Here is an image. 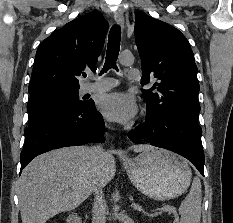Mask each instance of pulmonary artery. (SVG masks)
I'll return each mask as SVG.
<instances>
[{
    "label": "pulmonary artery",
    "instance_id": "1",
    "mask_svg": "<svg viewBox=\"0 0 233 223\" xmlns=\"http://www.w3.org/2000/svg\"><path fill=\"white\" fill-rule=\"evenodd\" d=\"M128 74L130 75V79L135 81L139 79V75L142 74L141 70H129ZM96 80L95 83H91L87 86V91L90 93H102L110 90L117 83V80L114 78H97L93 77Z\"/></svg>",
    "mask_w": 233,
    "mask_h": 223
}]
</instances>
